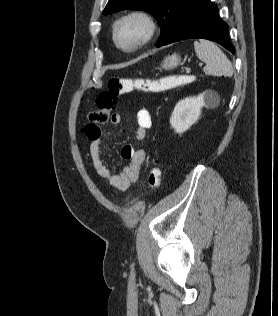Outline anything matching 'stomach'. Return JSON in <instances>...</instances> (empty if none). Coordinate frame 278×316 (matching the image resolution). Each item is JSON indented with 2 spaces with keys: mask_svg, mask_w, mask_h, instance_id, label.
I'll list each match as a JSON object with an SVG mask.
<instances>
[{
  "mask_svg": "<svg viewBox=\"0 0 278 316\" xmlns=\"http://www.w3.org/2000/svg\"><path fill=\"white\" fill-rule=\"evenodd\" d=\"M179 64H181L180 56L177 54H172L164 59L161 66L162 68L168 70L176 68Z\"/></svg>",
  "mask_w": 278,
  "mask_h": 316,
  "instance_id": "obj_1",
  "label": "stomach"
}]
</instances>
